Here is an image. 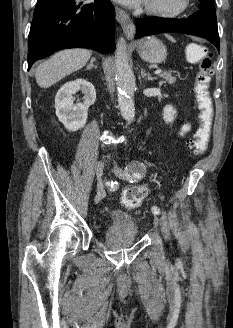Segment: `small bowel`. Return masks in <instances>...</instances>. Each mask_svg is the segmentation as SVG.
Returning <instances> with one entry per match:
<instances>
[{
	"instance_id": "c3829d8e",
	"label": "small bowel",
	"mask_w": 233,
	"mask_h": 328,
	"mask_svg": "<svg viewBox=\"0 0 233 328\" xmlns=\"http://www.w3.org/2000/svg\"><path fill=\"white\" fill-rule=\"evenodd\" d=\"M191 129V125L189 123H185L181 126L179 130V135L180 136H185Z\"/></svg>"
}]
</instances>
